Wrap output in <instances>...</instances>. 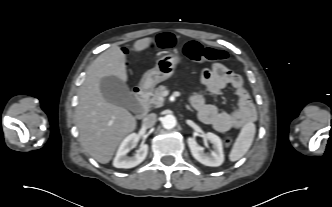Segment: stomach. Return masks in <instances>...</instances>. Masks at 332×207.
<instances>
[{
    "label": "stomach",
    "instance_id": "stomach-1",
    "mask_svg": "<svg viewBox=\"0 0 332 207\" xmlns=\"http://www.w3.org/2000/svg\"><path fill=\"white\" fill-rule=\"evenodd\" d=\"M180 61V56L173 53H168L159 58L155 67L144 73L139 83L140 88L146 91L152 90L158 83L170 78Z\"/></svg>",
    "mask_w": 332,
    "mask_h": 207
}]
</instances>
